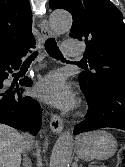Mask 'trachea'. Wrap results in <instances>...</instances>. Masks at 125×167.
I'll return each mask as SVG.
<instances>
[{"label": "trachea", "instance_id": "1", "mask_svg": "<svg viewBox=\"0 0 125 167\" xmlns=\"http://www.w3.org/2000/svg\"><path fill=\"white\" fill-rule=\"evenodd\" d=\"M45 49L47 51V53L55 58V59H59V60H63V56L62 53L60 52L57 43L55 41L54 38H49L47 39L46 43H45ZM38 55L37 52H34L33 54H31L23 63V65H28L31 64V62L36 58V56Z\"/></svg>", "mask_w": 125, "mask_h": 167}]
</instances>
